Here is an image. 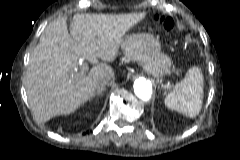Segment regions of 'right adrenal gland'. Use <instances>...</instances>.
I'll return each mask as SVG.
<instances>
[{
    "label": "right adrenal gland",
    "instance_id": "2a0ac1e0",
    "mask_svg": "<svg viewBox=\"0 0 240 160\" xmlns=\"http://www.w3.org/2000/svg\"><path fill=\"white\" fill-rule=\"evenodd\" d=\"M103 90H105V88L98 89V90L94 93V96H93V97H95V96H102Z\"/></svg>",
    "mask_w": 240,
    "mask_h": 160
}]
</instances>
